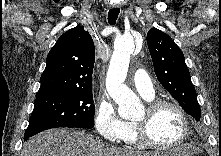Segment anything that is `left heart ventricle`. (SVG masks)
Listing matches in <instances>:
<instances>
[{"label":"left heart ventricle","mask_w":221,"mask_h":156,"mask_svg":"<svg viewBox=\"0 0 221 156\" xmlns=\"http://www.w3.org/2000/svg\"><path fill=\"white\" fill-rule=\"evenodd\" d=\"M146 120L147 110L145 109L135 121ZM147 131L154 142L162 145H172L182 136L183 121L176 110L164 107L148 120Z\"/></svg>","instance_id":"obj_1"}]
</instances>
